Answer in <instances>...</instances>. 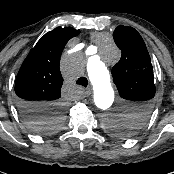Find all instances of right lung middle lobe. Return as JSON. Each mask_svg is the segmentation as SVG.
Listing matches in <instances>:
<instances>
[{
	"label": "right lung middle lobe",
	"mask_w": 174,
	"mask_h": 174,
	"mask_svg": "<svg viewBox=\"0 0 174 174\" xmlns=\"http://www.w3.org/2000/svg\"><path fill=\"white\" fill-rule=\"evenodd\" d=\"M60 111V109L52 110L46 115H38L36 120L27 121V123L29 127L37 133H50L56 130L61 124L62 117L60 116Z\"/></svg>",
	"instance_id": "1"
}]
</instances>
